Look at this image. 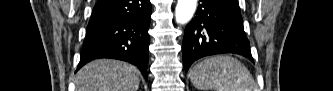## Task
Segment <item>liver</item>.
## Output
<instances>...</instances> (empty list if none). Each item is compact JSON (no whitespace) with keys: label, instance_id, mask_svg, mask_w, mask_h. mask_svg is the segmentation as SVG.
<instances>
[{"label":"liver","instance_id":"6515ba94","mask_svg":"<svg viewBox=\"0 0 333 91\" xmlns=\"http://www.w3.org/2000/svg\"><path fill=\"white\" fill-rule=\"evenodd\" d=\"M139 70L128 63L101 59L82 67L76 76V91H137Z\"/></svg>","mask_w":333,"mask_h":91}]
</instances>
